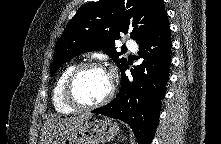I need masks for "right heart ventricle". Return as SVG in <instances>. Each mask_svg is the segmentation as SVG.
<instances>
[{
    "instance_id": "right-heart-ventricle-1",
    "label": "right heart ventricle",
    "mask_w": 221,
    "mask_h": 144,
    "mask_svg": "<svg viewBox=\"0 0 221 144\" xmlns=\"http://www.w3.org/2000/svg\"><path fill=\"white\" fill-rule=\"evenodd\" d=\"M77 65L75 63L66 66L59 77L57 78L53 92H52V102L55 110L62 114H70L75 110L70 108L63 100V85L69 74Z\"/></svg>"
}]
</instances>
